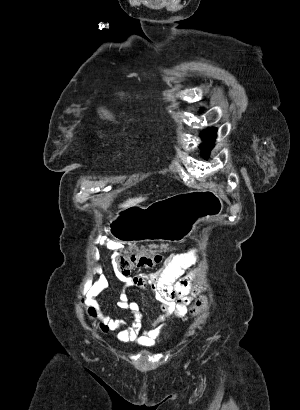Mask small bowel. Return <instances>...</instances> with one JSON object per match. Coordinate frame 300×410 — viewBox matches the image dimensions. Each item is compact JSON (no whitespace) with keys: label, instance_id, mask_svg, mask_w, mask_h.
<instances>
[{"label":"small bowel","instance_id":"c3829d8e","mask_svg":"<svg viewBox=\"0 0 300 410\" xmlns=\"http://www.w3.org/2000/svg\"><path fill=\"white\" fill-rule=\"evenodd\" d=\"M197 260V250L191 249L185 253L170 254L163 267L150 274L131 277L115 272L116 278L124 284L117 307L130 312V321L107 316L94 300L102 287L109 283V278L103 269H95L94 273L99 275V281L93 283L89 277L84 282L85 298L82 302L87 318L96 323L103 333L118 331L116 340L121 343H137L144 347L153 346L167 327L166 318L171 315L176 317L186 315L192 296L203 289L202 283L192 286L197 276V269L194 268ZM130 287H138L151 293L163 312L149 328L142 327L141 305L127 298L126 289Z\"/></svg>","mask_w":300,"mask_h":410}]
</instances>
